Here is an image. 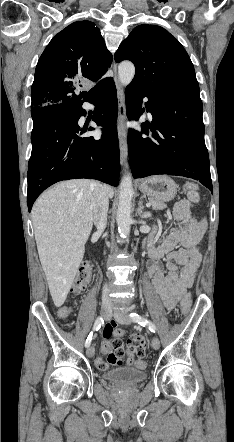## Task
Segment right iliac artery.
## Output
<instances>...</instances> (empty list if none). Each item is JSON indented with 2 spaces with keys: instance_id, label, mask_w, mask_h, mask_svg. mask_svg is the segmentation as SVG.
I'll return each mask as SVG.
<instances>
[{
  "instance_id": "right-iliac-artery-1",
  "label": "right iliac artery",
  "mask_w": 234,
  "mask_h": 442,
  "mask_svg": "<svg viewBox=\"0 0 234 442\" xmlns=\"http://www.w3.org/2000/svg\"><path fill=\"white\" fill-rule=\"evenodd\" d=\"M104 323V321H103V319H102V317H98L96 320H95V323H94V325H93V331H97V330H99L100 329V327H101V325ZM93 331L89 334V336L87 337V340H86V342H85V346L86 347H88V346H90V343H91V340H92V334H93Z\"/></svg>"
}]
</instances>
